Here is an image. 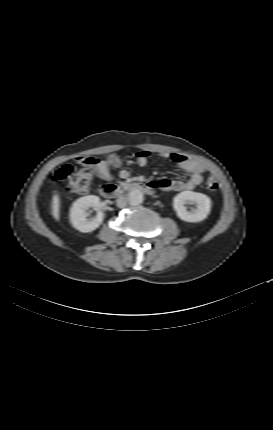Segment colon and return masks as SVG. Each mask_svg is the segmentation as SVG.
I'll return each mask as SVG.
<instances>
[{
  "label": "colon",
  "mask_w": 273,
  "mask_h": 430,
  "mask_svg": "<svg viewBox=\"0 0 273 430\" xmlns=\"http://www.w3.org/2000/svg\"><path fill=\"white\" fill-rule=\"evenodd\" d=\"M77 163L80 167L73 165H63L53 174V180L58 183H64L71 192L82 194L85 193L91 182V172L87 165L85 157H79ZM206 188L213 192L218 189V183L213 177L206 181Z\"/></svg>",
  "instance_id": "1"
}]
</instances>
